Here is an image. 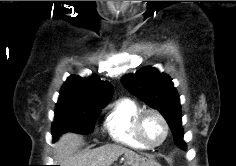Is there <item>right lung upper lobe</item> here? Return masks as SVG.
I'll return each mask as SVG.
<instances>
[{
	"label": "right lung upper lobe",
	"mask_w": 236,
	"mask_h": 166,
	"mask_svg": "<svg viewBox=\"0 0 236 166\" xmlns=\"http://www.w3.org/2000/svg\"><path fill=\"white\" fill-rule=\"evenodd\" d=\"M112 92L113 86L96 75L87 78L71 75L61 88L58 103L106 106Z\"/></svg>",
	"instance_id": "cb5924a9"
}]
</instances>
